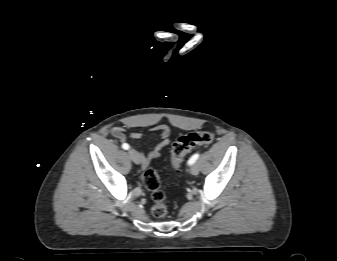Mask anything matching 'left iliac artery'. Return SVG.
<instances>
[{
  "label": "left iliac artery",
  "mask_w": 337,
  "mask_h": 261,
  "mask_svg": "<svg viewBox=\"0 0 337 261\" xmlns=\"http://www.w3.org/2000/svg\"><path fill=\"white\" fill-rule=\"evenodd\" d=\"M199 158V153L194 154L191 156V158L188 160V164L192 165L196 162V160Z\"/></svg>",
  "instance_id": "44dca946"
}]
</instances>
